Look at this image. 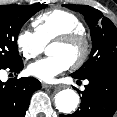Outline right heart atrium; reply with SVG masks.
I'll list each match as a JSON object with an SVG mask.
<instances>
[{
    "label": "right heart atrium",
    "mask_w": 117,
    "mask_h": 117,
    "mask_svg": "<svg viewBox=\"0 0 117 117\" xmlns=\"http://www.w3.org/2000/svg\"><path fill=\"white\" fill-rule=\"evenodd\" d=\"M16 46L26 59L36 58L44 50V43L37 34L29 29H22L16 37Z\"/></svg>",
    "instance_id": "d8ad5b80"
}]
</instances>
